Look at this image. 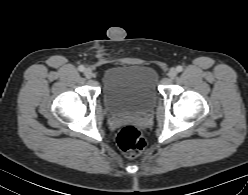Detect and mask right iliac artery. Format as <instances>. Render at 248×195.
Returning a JSON list of instances; mask_svg holds the SVG:
<instances>
[{"mask_svg":"<svg viewBox=\"0 0 248 195\" xmlns=\"http://www.w3.org/2000/svg\"><path fill=\"white\" fill-rule=\"evenodd\" d=\"M78 69H79V71L83 72V71L85 70V67H84L83 65H80V66L78 67Z\"/></svg>","mask_w":248,"mask_h":195,"instance_id":"right-iliac-artery-1","label":"right iliac artery"}]
</instances>
